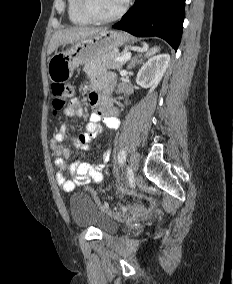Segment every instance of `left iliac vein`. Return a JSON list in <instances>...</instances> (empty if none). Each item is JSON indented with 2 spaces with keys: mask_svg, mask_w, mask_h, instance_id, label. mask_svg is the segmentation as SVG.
<instances>
[{
  "mask_svg": "<svg viewBox=\"0 0 233 284\" xmlns=\"http://www.w3.org/2000/svg\"><path fill=\"white\" fill-rule=\"evenodd\" d=\"M139 163H140L139 155L138 153L134 152L131 155L130 161H129V168L133 173H135L138 170Z\"/></svg>",
  "mask_w": 233,
  "mask_h": 284,
  "instance_id": "left-iliac-vein-1",
  "label": "left iliac vein"
}]
</instances>
